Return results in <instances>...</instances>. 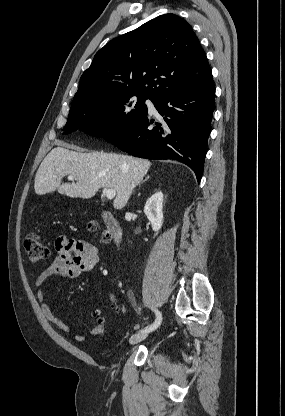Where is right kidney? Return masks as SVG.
Listing matches in <instances>:
<instances>
[{"instance_id": "1", "label": "right kidney", "mask_w": 285, "mask_h": 416, "mask_svg": "<svg viewBox=\"0 0 285 416\" xmlns=\"http://www.w3.org/2000/svg\"><path fill=\"white\" fill-rule=\"evenodd\" d=\"M163 194L162 192H156L149 200H147L144 206V214H146L150 224H152V230L159 232L163 224Z\"/></svg>"}]
</instances>
